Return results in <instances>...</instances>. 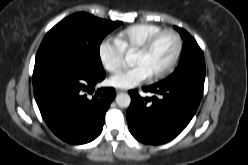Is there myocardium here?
<instances>
[{"mask_svg": "<svg viewBox=\"0 0 248 165\" xmlns=\"http://www.w3.org/2000/svg\"><path fill=\"white\" fill-rule=\"evenodd\" d=\"M166 35H171L175 38L176 49L170 61L161 70L153 74L150 77L151 80H158L164 77L166 74H168L173 69V67L177 64V62L179 61L181 57V54L183 51V40L181 36L179 35V33H177L176 31L171 30V29H165L151 36L143 45H141L136 50V53H141V54L148 53L155 46V44L162 37Z\"/></svg>", "mask_w": 248, "mask_h": 165, "instance_id": "1", "label": "myocardium"}]
</instances>
